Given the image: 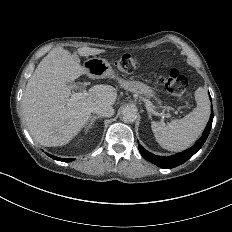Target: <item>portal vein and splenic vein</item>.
Wrapping results in <instances>:
<instances>
[{"label":"portal vein and splenic vein","instance_id":"portal-vein-and-splenic-vein-1","mask_svg":"<svg viewBox=\"0 0 232 232\" xmlns=\"http://www.w3.org/2000/svg\"><path fill=\"white\" fill-rule=\"evenodd\" d=\"M89 94L87 92H83V93H75V94H72L71 98L69 101H75V100H80L84 97H87ZM145 105H146V108L148 110H151V106H152V103L147 100V99H143Z\"/></svg>","mask_w":232,"mask_h":232}]
</instances>
